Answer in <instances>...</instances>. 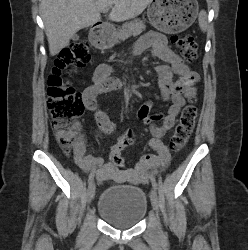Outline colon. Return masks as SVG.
<instances>
[{
	"label": "colon",
	"instance_id": "5ec220e1",
	"mask_svg": "<svg viewBox=\"0 0 248 250\" xmlns=\"http://www.w3.org/2000/svg\"><path fill=\"white\" fill-rule=\"evenodd\" d=\"M173 43L179 48L183 59L192 63L197 60L198 47L190 36L174 35ZM91 59L89 44L82 40L72 43L64 48L57 59L47 79L48 106L52 118V127L55 131L58 143L65 154L69 155L72 145L76 140V120L84 113L85 105L82 96L77 92L64 73L72 72L76 68L86 65ZM198 110L193 98L183 108L179 122L171 139V148L175 151L181 150L191 136ZM131 143L121 139L111 148V162L117 167L125 164L121 152L129 147Z\"/></svg>",
	"mask_w": 248,
	"mask_h": 250
}]
</instances>
